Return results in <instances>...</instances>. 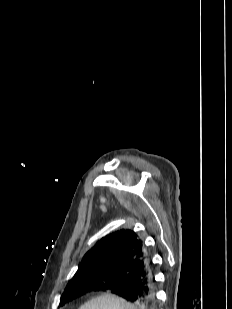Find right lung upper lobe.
<instances>
[{
    "label": "right lung upper lobe",
    "instance_id": "cb5924a9",
    "mask_svg": "<svg viewBox=\"0 0 232 309\" xmlns=\"http://www.w3.org/2000/svg\"><path fill=\"white\" fill-rule=\"evenodd\" d=\"M148 258L137 234L130 229H121L103 237L84 255L73 279L96 271L117 274L123 271L120 269H124L125 264L140 263Z\"/></svg>",
    "mask_w": 232,
    "mask_h": 309
}]
</instances>
